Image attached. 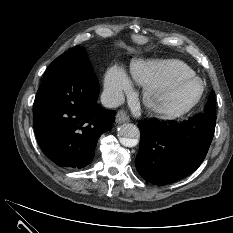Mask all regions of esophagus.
<instances>
[{
    "label": "esophagus",
    "instance_id": "1",
    "mask_svg": "<svg viewBox=\"0 0 233 233\" xmlns=\"http://www.w3.org/2000/svg\"><path fill=\"white\" fill-rule=\"evenodd\" d=\"M128 121H129V116L127 115L125 111L120 110L117 112L116 123L121 124V123L128 122Z\"/></svg>",
    "mask_w": 233,
    "mask_h": 233
}]
</instances>
